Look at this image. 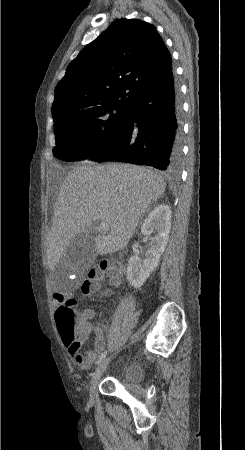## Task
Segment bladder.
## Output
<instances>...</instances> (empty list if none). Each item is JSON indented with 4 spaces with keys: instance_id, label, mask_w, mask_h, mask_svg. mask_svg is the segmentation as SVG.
<instances>
[{
    "instance_id": "1",
    "label": "bladder",
    "mask_w": 245,
    "mask_h": 450,
    "mask_svg": "<svg viewBox=\"0 0 245 450\" xmlns=\"http://www.w3.org/2000/svg\"><path fill=\"white\" fill-rule=\"evenodd\" d=\"M143 372L144 368L140 363L131 362L121 368L118 377L121 382L127 385H136L141 380Z\"/></svg>"
}]
</instances>
